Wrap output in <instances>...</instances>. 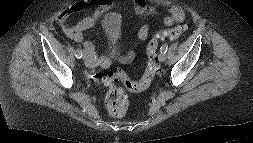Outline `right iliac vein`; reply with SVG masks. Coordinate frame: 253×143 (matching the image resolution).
<instances>
[{
  "instance_id": "obj_1",
  "label": "right iliac vein",
  "mask_w": 253,
  "mask_h": 143,
  "mask_svg": "<svg viewBox=\"0 0 253 143\" xmlns=\"http://www.w3.org/2000/svg\"><path fill=\"white\" fill-rule=\"evenodd\" d=\"M91 58H92L91 52H90L88 49H85V50H84V53H83V59H84L86 62H88V61L91 60Z\"/></svg>"
}]
</instances>
